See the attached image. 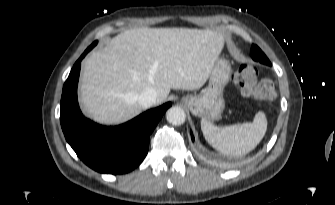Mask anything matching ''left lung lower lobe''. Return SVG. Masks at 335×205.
<instances>
[{"label":"left lung lower lobe","instance_id":"0a47b994","mask_svg":"<svg viewBox=\"0 0 335 205\" xmlns=\"http://www.w3.org/2000/svg\"><path fill=\"white\" fill-rule=\"evenodd\" d=\"M192 140L194 141V137L192 136Z\"/></svg>","mask_w":335,"mask_h":205}]
</instances>
